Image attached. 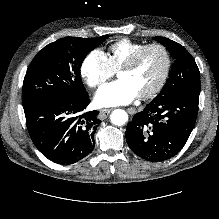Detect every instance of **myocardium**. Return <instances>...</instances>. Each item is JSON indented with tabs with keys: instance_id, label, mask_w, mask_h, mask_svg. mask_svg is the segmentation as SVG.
Returning a JSON list of instances; mask_svg holds the SVG:
<instances>
[{
	"instance_id": "obj_1",
	"label": "myocardium",
	"mask_w": 219,
	"mask_h": 219,
	"mask_svg": "<svg viewBox=\"0 0 219 219\" xmlns=\"http://www.w3.org/2000/svg\"><path fill=\"white\" fill-rule=\"evenodd\" d=\"M152 48H158L162 51L165 57V67L158 82L149 91L138 95L140 99H149V98L156 96L165 86L168 80V77L170 75L171 67H172V58H171V54L168 48L165 45L161 43H157V42L145 44L143 47L137 50L134 54H132L118 69V72H120L122 70H129L133 68L137 64L141 56L146 51Z\"/></svg>"
}]
</instances>
